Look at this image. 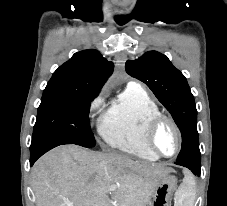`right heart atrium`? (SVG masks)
Listing matches in <instances>:
<instances>
[{
    "mask_svg": "<svg viewBox=\"0 0 227 206\" xmlns=\"http://www.w3.org/2000/svg\"><path fill=\"white\" fill-rule=\"evenodd\" d=\"M104 93H100L97 97H95L89 106L90 116L95 117L101 110L104 103Z\"/></svg>",
    "mask_w": 227,
    "mask_h": 206,
    "instance_id": "obj_1",
    "label": "right heart atrium"
}]
</instances>
